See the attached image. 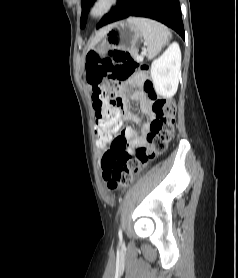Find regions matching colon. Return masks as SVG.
<instances>
[{"instance_id":"obj_1","label":"colon","mask_w":238,"mask_h":278,"mask_svg":"<svg viewBox=\"0 0 238 278\" xmlns=\"http://www.w3.org/2000/svg\"><path fill=\"white\" fill-rule=\"evenodd\" d=\"M86 78L92 88V98L98 122L93 125L95 134L115 135L122 125V103L119 85L130 78L142 81L143 89L152 100L155 115L150 124L147 144L130 153L129 144H111L95 141L96 149H106L101 160L103 178L110 189L116 190L130 184L141 168L161 155L172 140L174 133L176 105L158 95L149 77V67L137 63L124 50L109 51L107 58L101 59L97 51H90L86 58Z\"/></svg>"}]
</instances>
